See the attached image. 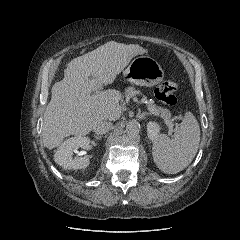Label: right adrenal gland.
Segmentation results:
<instances>
[{
	"mask_svg": "<svg viewBox=\"0 0 240 240\" xmlns=\"http://www.w3.org/2000/svg\"><path fill=\"white\" fill-rule=\"evenodd\" d=\"M94 137H95L96 139H98V140H101V139H102L101 136L94 135Z\"/></svg>",
	"mask_w": 240,
	"mask_h": 240,
	"instance_id": "1",
	"label": "right adrenal gland"
}]
</instances>
